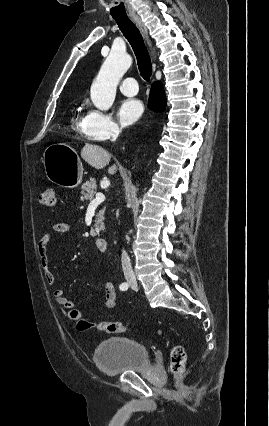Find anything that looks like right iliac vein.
Returning a JSON list of instances; mask_svg holds the SVG:
<instances>
[{"label":"right iliac vein","instance_id":"obj_1","mask_svg":"<svg viewBox=\"0 0 269 426\" xmlns=\"http://www.w3.org/2000/svg\"><path fill=\"white\" fill-rule=\"evenodd\" d=\"M129 282H130V283H133V280H131V279H130V280H129Z\"/></svg>","mask_w":269,"mask_h":426}]
</instances>
